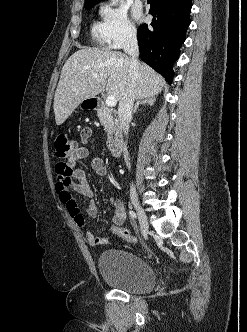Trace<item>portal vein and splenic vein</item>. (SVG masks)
I'll list each match as a JSON object with an SVG mask.
<instances>
[{
	"label": "portal vein and splenic vein",
	"mask_w": 247,
	"mask_h": 332,
	"mask_svg": "<svg viewBox=\"0 0 247 332\" xmlns=\"http://www.w3.org/2000/svg\"><path fill=\"white\" fill-rule=\"evenodd\" d=\"M105 102L107 106L114 107L117 104V99L113 95H108Z\"/></svg>",
	"instance_id": "obj_1"
}]
</instances>
